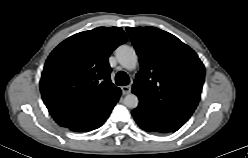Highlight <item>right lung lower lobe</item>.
I'll return each instance as SVG.
<instances>
[{
	"label": "right lung lower lobe",
	"instance_id": "98d812e1",
	"mask_svg": "<svg viewBox=\"0 0 248 158\" xmlns=\"http://www.w3.org/2000/svg\"><path fill=\"white\" fill-rule=\"evenodd\" d=\"M121 94V93H120ZM120 94L116 97V99L99 115L96 117L87 120L81 124H77L71 127H68L70 130L75 132H85V131H91L98 127H100L108 118L110 112L112 111L114 105L118 102V99L120 97Z\"/></svg>",
	"mask_w": 248,
	"mask_h": 158
}]
</instances>
